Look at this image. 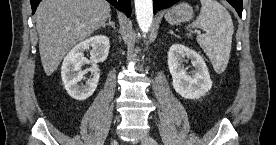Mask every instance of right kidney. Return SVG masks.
<instances>
[{"label": "right kidney", "instance_id": "obj_1", "mask_svg": "<svg viewBox=\"0 0 276 145\" xmlns=\"http://www.w3.org/2000/svg\"><path fill=\"white\" fill-rule=\"evenodd\" d=\"M89 47H92L90 61L84 57V51ZM109 48V38L106 35H97L80 42L66 55L61 67V77L67 93L72 98L83 101L94 93L100 78L98 63L107 59ZM88 62L92 63V67L82 71V65ZM87 71L92 73V77L84 86H79L78 82Z\"/></svg>", "mask_w": 276, "mask_h": 145}]
</instances>
